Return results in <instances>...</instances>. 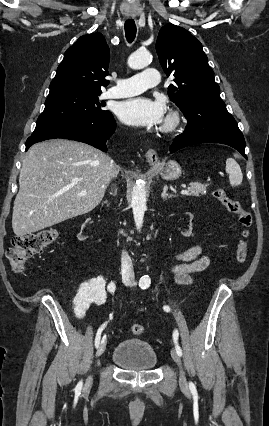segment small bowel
<instances>
[{"mask_svg":"<svg viewBox=\"0 0 269 426\" xmlns=\"http://www.w3.org/2000/svg\"><path fill=\"white\" fill-rule=\"evenodd\" d=\"M176 259L177 263L173 272L177 283L181 285H189L192 282L193 274L203 270L209 262L208 257L202 253L199 246L178 253Z\"/></svg>","mask_w":269,"mask_h":426,"instance_id":"c3829d8e","label":"small bowel"}]
</instances>
